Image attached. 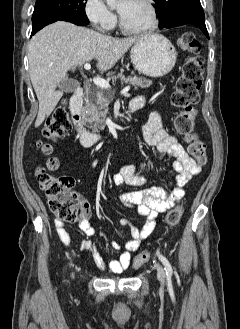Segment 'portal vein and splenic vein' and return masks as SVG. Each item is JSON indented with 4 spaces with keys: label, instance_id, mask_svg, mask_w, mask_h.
Wrapping results in <instances>:
<instances>
[{
    "label": "portal vein and splenic vein",
    "instance_id": "18ae733b",
    "mask_svg": "<svg viewBox=\"0 0 240 329\" xmlns=\"http://www.w3.org/2000/svg\"><path fill=\"white\" fill-rule=\"evenodd\" d=\"M84 68L87 69V70H89V69L91 68V65H90L89 63H86V64L84 65ZM93 82H94V84H95L96 86H98V87L101 88V89H110V88H111L109 82L106 81V80H104V79H102V78H100V77H95V78L93 79ZM129 90H130V86H127V87H125V88L121 91V93L124 94V93L128 92Z\"/></svg>",
    "mask_w": 240,
    "mask_h": 329
}]
</instances>
